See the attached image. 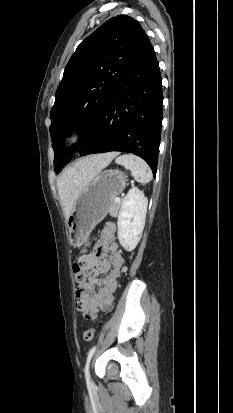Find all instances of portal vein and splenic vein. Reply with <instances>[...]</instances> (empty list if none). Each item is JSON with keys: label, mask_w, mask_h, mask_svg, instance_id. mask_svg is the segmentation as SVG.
<instances>
[{"label": "portal vein and splenic vein", "mask_w": 233, "mask_h": 413, "mask_svg": "<svg viewBox=\"0 0 233 413\" xmlns=\"http://www.w3.org/2000/svg\"><path fill=\"white\" fill-rule=\"evenodd\" d=\"M120 201H121L120 197H115V202H120Z\"/></svg>", "instance_id": "1"}]
</instances>
